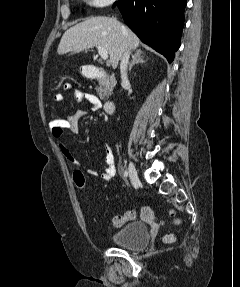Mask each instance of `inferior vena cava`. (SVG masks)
Returning a JSON list of instances; mask_svg holds the SVG:
<instances>
[{"label": "inferior vena cava", "instance_id": "1", "mask_svg": "<svg viewBox=\"0 0 240 287\" xmlns=\"http://www.w3.org/2000/svg\"><path fill=\"white\" fill-rule=\"evenodd\" d=\"M130 47H127L126 50L124 51L122 58H121V63H120V73H121V85L123 88L129 85L128 77H127V66L129 62V57H130Z\"/></svg>", "mask_w": 240, "mask_h": 287}]
</instances>
